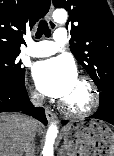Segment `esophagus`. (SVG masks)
Returning <instances> with one entry per match:
<instances>
[{
    "label": "esophagus",
    "mask_w": 114,
    "mask_h": 156,
    "mask_svg": "<svg viewBox=\"0 0 114 156\" xmlns=\"http://www.w3.org/2000/svg\"><path fill=\"white\" fill-rule=\"evenodd\" d=\"M52 12H53V5L51 4L50 9H49V11L47 13L46 18H47V21H48L49 26L52 29H54L56 27V23L52 19ZM46 117H47V120L49 122H52V121H54L56 119L55 113L53 111H51L50 109H46Z\"/></svg>",
    "instance_id": "esophagus-1"
}]
</instances>
